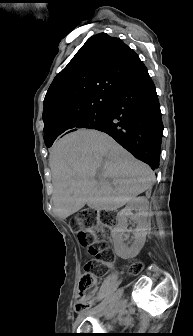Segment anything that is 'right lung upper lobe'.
Segmentation results:
<instances>
[{
    "label": "right lung upper lobe",
    "instance_id": "cb5924a9",
    "mask_svg": "<svg viewBox=\"0 0 193 336\" xmlns=\"http://www.w3.org/2000/svg\"><path fill=\"white\" fill-rule=\"evenodd\" d=\"M142 61L121 39L90 37L54 78L44 100V140L73 132L76 119L108 108Z\"/></svg>",
    "mask_w": 193,
    "mask_h": 336
}]
</instances>
